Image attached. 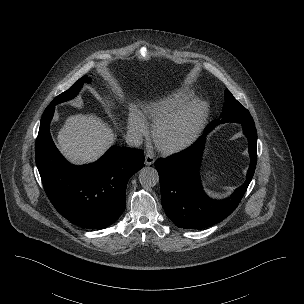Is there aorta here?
Segmentation results:
<instances>
[{
    "label": "aorta",
    "instance_id": "obj_1",
    "mask_svg": "<svg viewBox=\"0 0 304 304\" xmlns=\"http://www.w3.org/2000/svg\"><path fill=\"white\" fill-rule=\"evenodd\" d=\"M139 181L144 187H154L159 182V175L153 167H143L139 171Z\"/></svg>",
    "mask_w": 304,
    "mask_h": 304
}]
</instances>
